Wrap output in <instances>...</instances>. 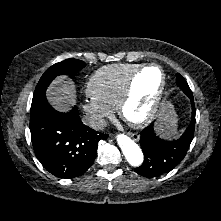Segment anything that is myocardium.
<instances>
[{
  "label": "myocardium",
  "instance_id": "obj_1",
  "mask_svg": "<svg viewBox=\"0 0 221 221\" xmlns=\"http://www.w3.org/2000/svg\"><path fill=\"white\" fill-rule=\"evenodd\" d=\"M149 68H156L160 72L161 82H160L159 89L154 97V100L152 102V105H151L148 113L144 117H142L141 119H138V120L130 119L126 114V109H127V106L129 105V103L132 101L133 96H134L135 81L141 73H143L145 70H147ZM165 88H166V75L164 73L163 68L160 65H158L156 63H150V64H145V65L140 66L129 77L126 87H125V90H124V93L118 103L117 110H118L120 117L126 123H128L130 126L135 127V128H142V127L150 124L154 120V118L156 117V115L159 111Z\"/></svg>",
  "mask_w": 221,
  "mask_h": 221
}]
</instances>
